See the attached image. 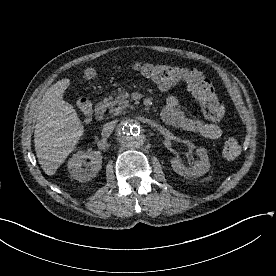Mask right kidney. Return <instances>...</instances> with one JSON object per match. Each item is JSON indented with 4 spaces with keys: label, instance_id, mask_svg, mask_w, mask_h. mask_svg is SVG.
I'll use <instances>...</instances> for the list:
<instances>
[{
    "label": "right kidney",
    "instance_id": "right-kidney-1",
    "mask_svg": "<svg viewBox=\"0 0 276 276\" xmlns=\"http://www.w3.org/2000/svg\"><path fill=\"white\" fill-rule=\"evenodd\" d=\"M90 162L84 168L86 160ZM102 155L100 151H78L68 161V171L71 177L78 180L79 182L90 181L94 178L101 169Z\"/></svg>",
    "mask_w": 276,
    "mask_h": 276
}]
</instances>
